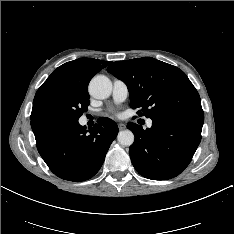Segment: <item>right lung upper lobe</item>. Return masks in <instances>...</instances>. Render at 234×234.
Wrapping results in <instances>:
<instances>
[{
	"instance_id": "1",
	"label": "right lung upper lobe",
	"mask_w": 234,
	"mask_h": 234,
	"mask_svg": "<svg viewBox=\"0 0 234 234\" xmlns=\"http://www.w3.org/2000/svg\"><path fill=\"white\" fill-rule=\"evenodd\" d=\"M111 62L93 58H79L58 67L38 89L31 113V119L37 117L36 109L43 96L57 87H69L88 91L90 79Z\"/></svg>"
}]
</instances>
